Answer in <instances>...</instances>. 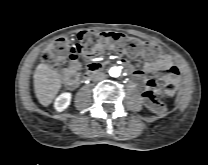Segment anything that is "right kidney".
Instances as JSON below:
<instances>
[{"instance_id": "1", "label": "right kidney", "mask_w": 208, "mask_h": 165, "mask_svg": "<svg viewBox=\"0 0 208 165\" xmlns=\"http://www.w3.org/2000/svg\"><path fill=\"white\" fill-rule=\"evenodd\" d=\"M71 102V93L65 92L58 96L54 102V107L58 112L64 111Z\"/></svg>"}]
</instances>
